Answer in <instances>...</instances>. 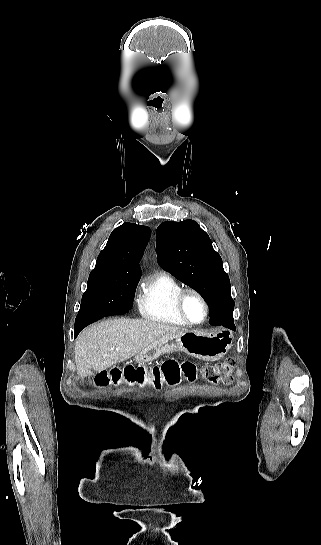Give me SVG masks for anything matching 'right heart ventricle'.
Segmentation results:
<instances>
[{"mask_svg":"<svg viewBox=\"0 0 321 545\" xmlns=\"http://www.w3.org/2000/svg\"><path fill=\"white\" fill-rule=\"evenodd\" d=\"M183 289V286L170 274L155 272L149 280V284L139 300L141 316L152 323L185 327L174 312L175 295Z\"/></svg>","mask_w":321,"mask_h":545,"instance_id":"right-heart-ventricle-1","label":"right heart ventricle"}]
</instances>
